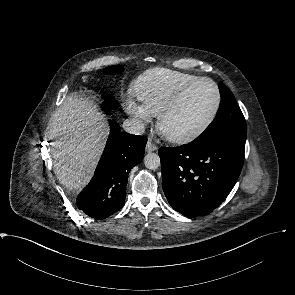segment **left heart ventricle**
Returning a JSON list of instances; mask_svg holds the SVG:
<instances>
[{
	"label": "left heart ventricle",
	"mask_w": 295,
	"mask_h": 295,
	"mask_svg": "<svg viewBox=\"0 0 295 295\" xmlns=\"http://www.w3.org/2000/svg\"><path fill=\"white\" fill-rule=\"evenodd\" d=\"M217 101L214 87L200 82L164 120L162 131L169 137H182L200 128L211 116Z\"/></svg>",
	"instance_id": "left-heart-ventricle-1"
}]
</instances>
